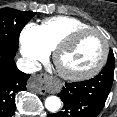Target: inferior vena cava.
I'll return each mask as SVG.
<instances>
[{
    "label": "inferior vena cava",
    "mask_w": 117,
    "mask_h": 117,
    "mask_svg": "<svg viewBox=\"0 0 117 117\" xmlns=\"http://www.w3.org/2000/svg\"><path fill=\"white\" fill-rule=\"evenodd\" d=\"M17 67L24 73H34L41 69V64L38 61L29 58H20L17 61Z\"/></svg>",
    "instance_id": "inferior-vena-cava-1"
}]
</instances>
